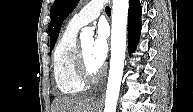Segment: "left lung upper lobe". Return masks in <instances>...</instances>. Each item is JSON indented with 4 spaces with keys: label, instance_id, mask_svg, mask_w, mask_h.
<instances>
[{
    "label": "left lung upper lobe",
    "instance_id": "1",
    "mask_svg": "<svg viewBox=\"0 0 193 112\" xmlns=\"http://www.w3.org/2000/svg\"><path fill=\"white\" fill-rule=\"evenodd\" d=\"M79 0H55L50 11V49L54 48L64 19L73 11Z\"/></svg>",
    "mask_w": 193,
    "mask_h": 112
}]
</instances>
